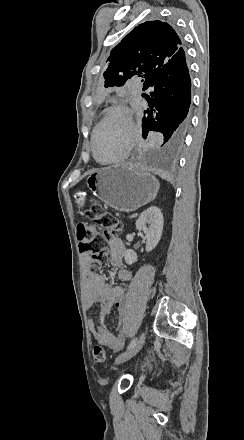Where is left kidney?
I'll return each instance as SVG.
<instances>
[{
	"instance_id": "1",
	"label": "left kidney",
	"mask_w": 244,
	"mask_h": 440,
	"mask_svg": "<svg viewBox=\"0 0 244 440\" xmlns=\"http://www.w3.org/2000/svg\"><path fill=\"white\" fill-rule=\"evenodd\" d=\"M147 224H150V226H147ZM136 230L144 232L147 252L154 250L162 236L163 230V214L160 208L150 206V208L144 210L136 222ZM124 256L125 262L129 264V266L137 262V254L134 250H127Z\"/></svg>"
}]
</instances>
